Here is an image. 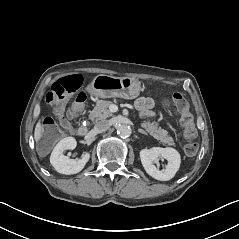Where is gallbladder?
I'll return each instance as SVG.
<instances>
[{
	"mask_svg": "<svg viewBox=\"0 0 239 239\" xmlns=\"http://www.w3.org/2000/svg\"><path fill=\"white\" fill-rule=\"evenodd\" d=\"M42 149H47V147L45 145H38L37 146V153L40 156L41 155V150Z\"/></svg>",
	"mask_w": 239,
	"mask_h": 239,
	"instance_id": "bac80fb5",
	"label": "gallbladder"
}]
</instances>
